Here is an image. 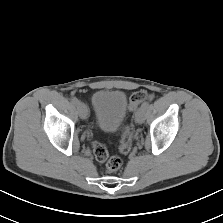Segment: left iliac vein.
I'll list each match as a JSON object with an SVG mask.
<instances>
[{
  "label": "left iliac vein",
  "mask_w": 223,
  "mask_h": 223,
  "mask_svg": "<svg viewBox=\"0 0 223 223\" xmlns=\"http://www.w3.org/2000/svg\"><path fill=\"white\" fill-rule=\"evenodd\" d=\"M145 120V109L140 107L135 113V121L138 124H142Z\"/></svg>",
  "instance_id": "left-iliac-vein-1"
}]
</instances>
